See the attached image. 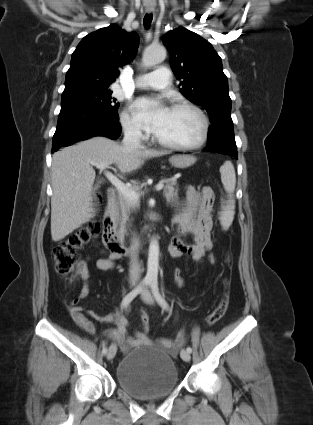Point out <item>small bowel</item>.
Listing matches in <instances>:
<instances>
[{
  "label": "small bowel",
  "mask_w": 313,
  "mask_h": 425,
  "mask_svg": "<svg viewBox=\"0 0 313 425\" xmlns=\"http://www.w3.org/2000/svg\"><path fill=\"white\" fill-rule=\"evenodd\" d=\"M213 202L214 191L211 187L205 186L201 190H197L192 186L186 187V201L173 218V222L177 225V233L173 237L168 249L173 258L188 254L194 261L202 262L205 254L213 248L211 240V230L213 227L211 211ZM188 234L194 236L195 243L192 245L186 244L183 241V238ZM118 258V255L111 254L107 258L98 259L96 266L98 269L104 271L113 270ZM82 276L84 279L88 278L85 268L82 271ZM88 294L89 287L88 285H84L78 299L70 307V315L78 327L88 334H94L96 330L95 324L85 314L84 309L76 305L78 300L86 298ZM89 315L101 323H116V329L107 332L105 336L118 343L124 351L151 342L138 332L130 334L128 321L118 313L101 315L89 312ZM160 342L167 347H171L173 344H182L184 342V335L182 333L179 334L174 343L164 338Z\"/></svg>",
  "instance_id": "c3829d8e"
}]
</instances>
